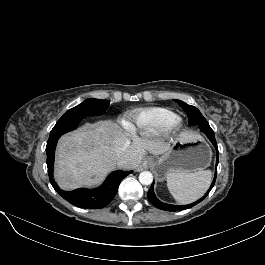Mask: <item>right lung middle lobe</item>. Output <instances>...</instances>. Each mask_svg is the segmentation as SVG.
<instances>
[{
    "label": "right lung middle lobe",
    "mask_w": 265,
    "mask_h": 265,
    "mask_svg": "<svg viewBox=\"0 0 265 265\" xmlns=\"http://www.w3.org/2000/svg\"><path fill=\"white\" fill-rule=\"evenodd\" d=\"M108 107H109L108 100L90 98V99L85 100L81 104L77 105L76 107L69 109L58 120V122H62L64 120L74 118V117L84 118L86 116L102 115L105 113Z\"/></svg>",
    "instance_id": "dd1d6c3e"
}]
</instances>
